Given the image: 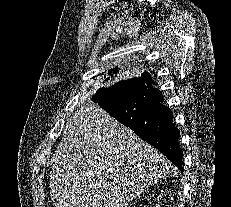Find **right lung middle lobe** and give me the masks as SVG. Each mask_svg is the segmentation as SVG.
Masks as SVG:
<instances>
[{"label":"right lung middle lobe","instance_id":"obj_1","mask_svg":"<svg viewBox=\"0 0 231 207\" xmlns=\"http://www.w3.org/2000/svg\"><path fill=\"white\" fill-rule=\"evenodd\" d=\"M125 81L126 80L120 81V82L116 83L115 85H113V86H111L109 88L99 89L96 93H99L100 98L106 97L107 95L111 94L112 92L117 90L119 87H121L122 84L125 83Z\"/></svg>","mask_w":231,"mask_h":207}]
</instances>
